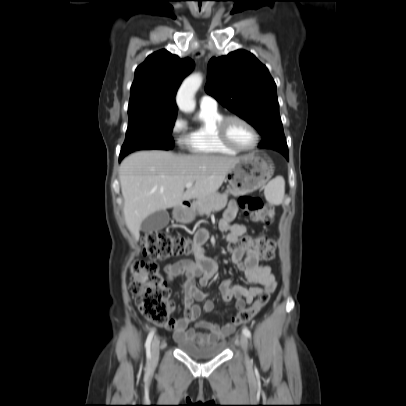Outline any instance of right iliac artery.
<instances>
[{"label": "right iliac artery", "instance_id": "right-iliac-artery-1", "mask_svg": "<svg viewBox=\"0 0 406 406\" xmlns=\"http://www.w3.org/2000/svg\"><path fill=\"white\" fill-rule=\"evenodd\" d=\"M154 333H155L154 330H151V331H150V333H149L148 336H147L146 343H145L146 356H147V360H148V361L150 360V357H151V342H152Z\"/></svg>", "mask_w": 406, "mask_h": 406}]
</instances>
